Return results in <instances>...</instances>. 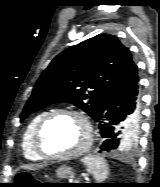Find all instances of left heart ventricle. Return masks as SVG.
Segmentation results:
<instances>
[{
	"label": "left heart ventricle",
	"instance_id": "left-heart-ventricle-1",
	"mask_svg": "<svg viewBox=\"0 0 160 187\" xmlns=\"http://www.w3.org/2000/svg\"><path fill=\"white\" fill-rule=\"evenodd\" d=\"M86 128L74 116H62L54 120L46 130L45 148L56 153H70L79 149L86 141Z\"/></svg>",
	"mask_w": 160,
	"mask_h": 187
}]
</instances>
